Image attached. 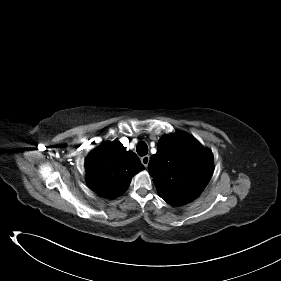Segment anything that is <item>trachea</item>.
I'll use <instances>...</instances> for the list:
<instances>
[{
    "instance_id": "trachea-1",
    "label": "trachea",
    "mask_w": 281,
    "mask_h": 281,
    "mask_svg": "<svg viewBox=\"0 0 281 281\" xmlns=\"http://www.w3.org/2000/svg\"><path fill=\"white\" fill-rule=\"evenodd\" d=\"M136 151L139 156H145L148 153V146L144 141L137 144Z\"/></svg>"
}]
</instances>
